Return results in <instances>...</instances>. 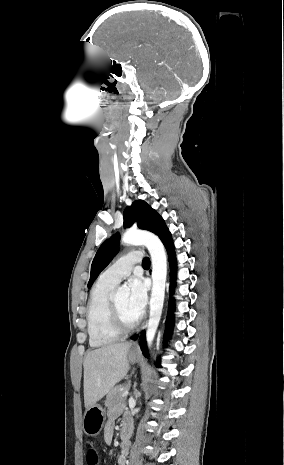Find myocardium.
<instances>
[{"mask_svg": "<svg viewBox=\"0 0 284 465\" xmlns=\"http://www.w3.org/2000/svg\"><path fill=\"white\" fill-rule=\"evenodd\" d=\"M110 321H108V326L111 331L117 336H127L134 332V330L138 327L141 318L138 317L136 321L132 325H124L122 321H124L121 313L118 309L116 302L113 299H110Z\"/></svg>", "mask_w": 284, "mask_h": 465, "instance_id": "obj_1", "label": "myocardium"}]
</instances>
